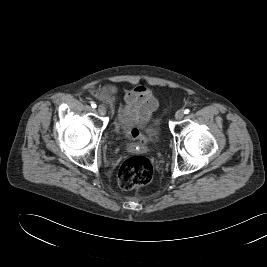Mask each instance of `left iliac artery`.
<instances>
[{
  "mask_svg": "<svg viewBox=\"0 0 267 267\" xmlns=\"http://www.w3.org/2000/svg\"><path fill=\"white\" fill-rule=\"evenodd\" d=\"M189 112H190L189 109H185V110H184V113H185V114H188Z\"/></svg>",
  "mask_w": 267,
  "mask_h": 267,
  "instance_id": "obj_1",
  "label": "left iliac artery"
}]
</instances>
